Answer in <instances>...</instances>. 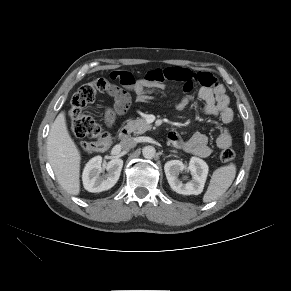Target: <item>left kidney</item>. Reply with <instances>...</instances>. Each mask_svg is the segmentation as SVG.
Masks as SVG:
<instances>
[{
	"instance_id": "1",
	"label": "left kidney",
	"mask_w": 291,
	"mask_h": 291,
	"mask_svg": "<svg viewBox=\"0 0 291 291\" xmlns=\"http://www.w3.org/2000/svg\"><path fill=\"white\" fill-rule=\"evenodd\" d=\"M185 169L182 161L171 160L165 163L164 171L172 190L183 195H198L203 191L204 184L208 175V165L202 159L192 157L189 162L188 170L192 179L183 183L178 177L179 173Z\"/></svg>"
}]
</instances>
